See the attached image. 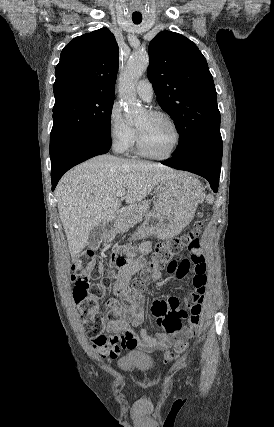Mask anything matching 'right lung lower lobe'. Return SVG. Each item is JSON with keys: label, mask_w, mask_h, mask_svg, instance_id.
<instances>
[{"label": "right lung lower lobe", "mask_w": 274, "mask_h": 427, "mask_svg": "<svg viewBox=\"0 0 274 427\" xmlns=\"http://www.w3.org/2000/svg\"><path fill=\"white\" fill-rule=\"evenodd\" d=\"M111 147V138L85 137L62 148L51 158L52 191L61 176L73 166L96 155L104 154Z\"/></svg>", "instance_id": "1"}]
</instances>
